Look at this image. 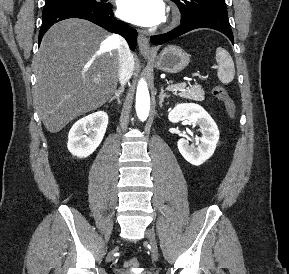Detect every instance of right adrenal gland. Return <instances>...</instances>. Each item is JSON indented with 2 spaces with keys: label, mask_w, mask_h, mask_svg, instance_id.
<instances>
[{
  "label": "right adrenal gland",
  "mask_w": 289,
  "mask_h": 274,
  "mask_svg": "<svg viewBox=\"0 0 289 274\" xmlns=\"http://www.w3.org/2000/svg\"><path fill=\"white\" fill-rule=\"evenodd\" d=\"M124 91V87H120L117 91H115V94L114 96L109 100V103H111L113 100H117L118 104H121V101H120V95L123 93Z\"/></svg>",
  "instance_id": "obj_1"
}]
</instances>
